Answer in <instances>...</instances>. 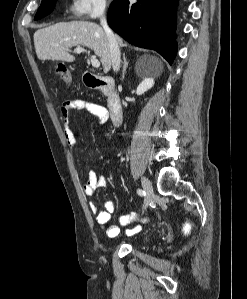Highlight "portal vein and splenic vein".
<instances>
[{"label":"portal vein and splenic vein","instance_id":"18ae733b","mask_svg":"<svg viewBox=\"0 0 247 299\" xmlns=\"http://www.w3.org/2000/svg\"><path fill=\"white\" fill-rule=\"evenodd\" d=\"M86 50L84 49V48H82V47H77L75 50H74V52H76V53H81V52H85ZM88 54H89V52H88ZM90 61H91V64H92V66L93 67H95V68H98V67H100V62H99V60L96 58V56H90Z\"/></svg>","mask_w":247,"mask_h":299}]
</instances>
